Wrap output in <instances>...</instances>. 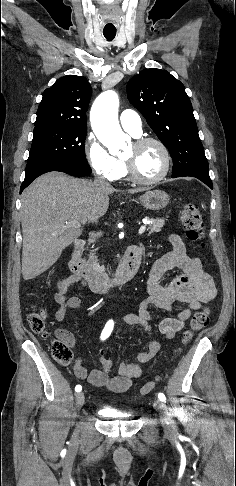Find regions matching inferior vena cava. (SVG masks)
<instances>
[{
  "label": "inferior vena cava",
  "instance_id": "1",
  "mask_svg": "<svg viewBox=\"0 0 236 486\" xmlns=\"http://www.w3.org/2000/svg\"><path fill=\"white\" fill-rule=\"evenodd\" d=\"M93 185L101 189L110 187V184L103 177H96L94 179Z\"/></svg>",
  "mask_w": 236,
  "mask_h": 486
}]
</instances>
